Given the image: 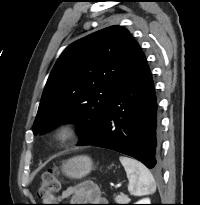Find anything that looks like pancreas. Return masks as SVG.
Masks as SVG:
<instances>
[{"label":"pancreas","instance_id":"1","mask_svg":"<svg viewBox=\"0 0 200 205\" xmlns=\"http://www.w3.org/2000/svg\"><path fill=\"white\" fill-rule=\"evenodd\" d=\"M115 201L118 202L119 204H124L129 201V198L127 195L121 193L120 195L115 196Z\"/></svg>","mask_w":200,"mask_h":205}]
</instances>
